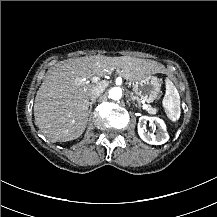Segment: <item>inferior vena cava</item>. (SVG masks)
I'll return each instance as SVG.
<instances>
[{
    "label": "inferior vena cava",
    "instance_id": "obj_1",
    "mask_svg": "<svg viewBox=\"0 0 217 217\" xmlns=\"http://www.w3.org/2000/svg\"><path fill=\"white\" fill-rule=\"evenodd\" d=\"M108 86V81H101L89 90V98L95 100L98 98Z\"/></svg>",
    "mask_w": 217,
    "mask_h": 217
}]
</instances>
